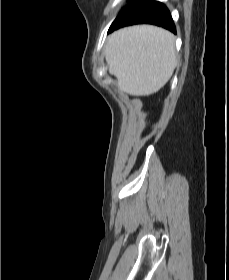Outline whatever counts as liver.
<instances>
[{
    "instance_id": "liver-1",
    "label": "liver",
    "mask_w": 229,
    "mask_h": 280,
    "mask_svg": "<svg viewBox=\"0 0 229 280\" xmlns=\"http://www.w3.org/2000/svg\"><path fill=\"white\" fill-rule=\"evenodd\" d=\"M174 42L172 33L152 25L131 26L111 34L105 57L118 89L132 96L159 91L176 67Z\"/></svg>"
}]
</instances>
